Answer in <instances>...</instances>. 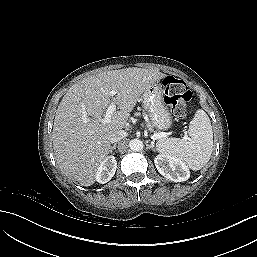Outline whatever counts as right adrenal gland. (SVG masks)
Segmentation results:
<instances>
[{
	"instance_id": "1",
	"label": "right adrenal gland",
	"mask_w": 257,
	"mask_h": 257,
	"mask_svg": "<svg viewBox=\"0 0 257 257\" xmlns=\"http://www.w3.org/2000/svg\"><path fill=\"white\" fill-rule=\"evenodd\" d=\"M115 149H116V144H114V145L111 147L110 152H112V151L115 150Z\"/></svg>"
}]
</instances>
